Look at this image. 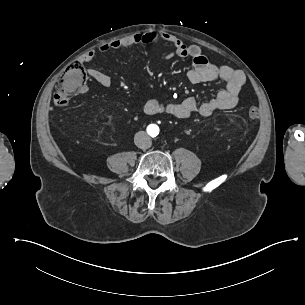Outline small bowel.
Listing matches in <instances>:
<instances>
[{
	"instance_id": "small-bowel-1",
	"label": "small bowel",
	"mask_w": 305,
	"mask_h": 305,
	"mask_svg": "<svg viewBox=\"0 0 305 305\" xmlns=\"http://www.w3.org/2000/svg\"><path fill=\"white\" fill-rule=\"evenodd\" d=\"M162 39L172 46L166 56L170 60L177 56L190 59L192 68L187 73V78L192 83H206L224 81L225 87L216 95L203 102H198L194 97H188L181 101L162 102L156 98L148 100L144 105V112L147 114H168L179 119H188L193 114L208 117L218 110H229L239 102V94L246 83V77L241 71H235L226 65H216L211 62L202 52L199 46L188 45L176 36L159 31H149L134 34L122 39L114 40L101 45L98 49L90 50L82 55L81 63L91 62L99 53H106L110 50H121L130 46L150 44L156 39ZM87 75L98 82L102 87L108 88L112 84L110 76L94 69L87 68ZM87 87L81 88V93L87 92Z\"/></svg>"
}]
</instances>
